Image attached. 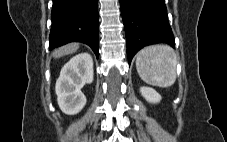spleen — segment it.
Listing matches in <instances>:
<instances>
[{
  "label": "spleen",
  "instance_id": "spleen-1",
  "mask_svg": "<svg viewBox=\"0 0 227 142\" xmlns=\"http://www.w3.org/2000/svg\"><path fill=\"white\" fill-rule=\"evenodd\" d=\"M177 59L174 50L167 45L143 48L136 58L140 78L148 84L169 87L176 81Z\"/></svg>",
  "mask_w": 227,
  "mask_h": 142
}]
</instances>
